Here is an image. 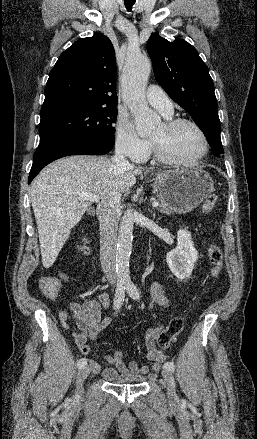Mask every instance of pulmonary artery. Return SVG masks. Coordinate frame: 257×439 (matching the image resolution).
<instances>
[{
    "mask_svg": "<svg viewBox=\"0 0 257 439\" xmlns=\"http://www.w3.org/2000/svg\"><path fill=\"white\" fill-rule=\"evenodd\" d=\"M146 99L151 106L164 116L169 117L172 115V103L161 87L150 85L146 91Z\"/></svg>",
    "mask_w": 257,
    "mask_h": 439,
    "instance_id": "pulmonary-artery-1",
    "label": "pulmonary artery"
}]
</instances>
